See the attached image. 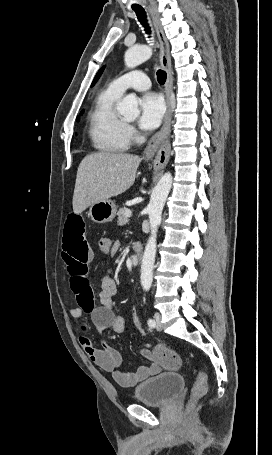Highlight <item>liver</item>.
I'll list each match as a JSON object with an SVG mask.
<instances>
[{"label": "liver", "mask_w": 272, "mask_h": 455, "mask_svg": "<svg viewBox=\"0 0 272 455\" xmlns=\"http://www.w3.org/2000/svg\"><path fill=\"white\" fill-rule=\"evenodd\" d=\"M141 162L137 155L98 152L80 163L73 194V211L82 213L92 204L108 200L128 190Z\"/></svg>", "instance_id": "6515ba94"}]
</instances>
